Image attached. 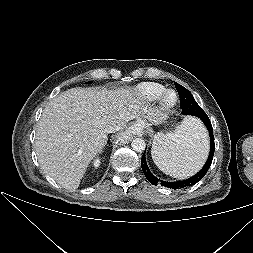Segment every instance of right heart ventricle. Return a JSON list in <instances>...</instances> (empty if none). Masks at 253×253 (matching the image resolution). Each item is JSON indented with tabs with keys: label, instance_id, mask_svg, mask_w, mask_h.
<instances>
[{
	"label": "right heart ventricle",
	"instance_id": "e07e8e85",
	"mask_svg": "<svg viewBox=\"0 0 253 253\" xmlns=\"http://www.w3.org/2000/svg\"><path fill=\"white\" fill-rule=\"evenodd\" d=\"M165 87L159 83L146 82L134 88V93L143 101L152 102L160 98Z\"/></svg>",
	"mask_w": 253,
	"mask_h": 253
}]
</instances>
